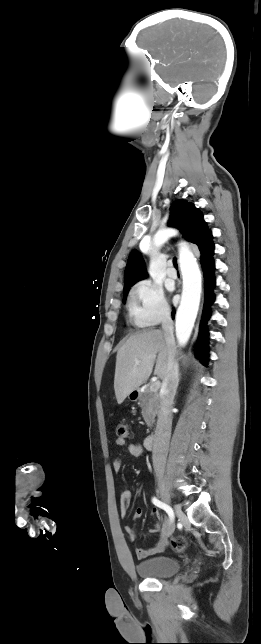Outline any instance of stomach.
I'll return each instance as SVG.
<instances>
[{"label":"stomach","mask_w":261,"mask_h":644,"mask_svg":"<svg viewBox=\"0 0 261 644\" xmlns=\"http://www.w3.org/2000/svg\"><path fill=\"white\" fill-rule=\"evenodd\" d=\"M137 396H138V391L137 390L132 391L128 395L129 399L132 400V401H135L137 399Z\"/></svg>","instance_id":"obj_1"}]
</instances>
